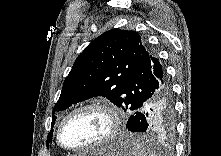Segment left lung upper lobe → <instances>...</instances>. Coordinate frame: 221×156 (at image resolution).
Masks as SVG:
<instances>
[{
  "label": "left lung upper lobe",
  "instance_id": "1",
  "mask_svg": "<svg viewBox=\"0 0 221 156\" xmlns=\"http://www.w3.org/2000/svg\"><path fill=\"white\" fill-rule=\"evenodd\" d=\"M164 72L136 31L109 30L77 57L53 112L103 96L133 113L154 94L156 76Z\"/></svg>",
  "mask_w": 221,
  "mask_h": 156
}]
</instances>
